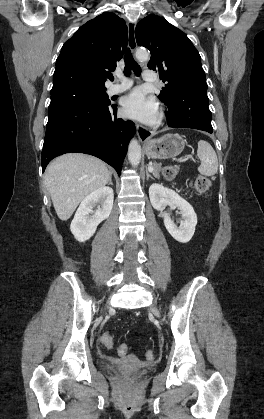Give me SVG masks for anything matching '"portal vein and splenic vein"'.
I'll list each match as a JSON object with an SVG mask.
<instances>
[{"label": "portal vein and splenic vein", "instance_id": "1", "mask_svg": "<svg viewBox=\"0 0 264 419\" xmlns=\"http://www.w3.org/2000/svg\"><path fill=\"white\" fill-rule=\"evenodd\" d=\"M193 159L192 157H186V158H183V159H181L180 161H186V160H188V159ZM149 171H153V168L152 167H149Z\"/></svg>", "mask_w": 264, "mask_h": 419}]
</instances>
